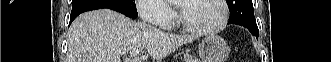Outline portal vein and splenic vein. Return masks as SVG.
<instances>
[{"label": "portal vein and splenic vein", "mask_w": 331, "mask_h": 62, "mask_svg": "<svg viewBox=\"0 0 331 62\" xmlns=\"http://www.w3.org/2000/svg\"><path fill=\"white\" fill-rule=\"evenodd\" d=\"M139 49L138 48H133L130 50V56L131 57H136L139 54Z\"/></svg>", "instance_id": "portal-vein-and-splenic-vein-1"}]
</instances>
